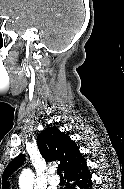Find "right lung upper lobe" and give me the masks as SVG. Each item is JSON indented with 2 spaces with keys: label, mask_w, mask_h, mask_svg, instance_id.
Listing matches in <instances>:
<instances>
[{
  "label": "right lung upper lobe",
  "mask_w": 124,
  "mask_h": 189,
  "mask_svg": "<svg viewBox=\"0 0 124 189\" xmlns=\"http://www.w3.org/2000/svg\"><path fill=\"white\" fill-rule=\"evenodd\" d=\"M37 145L41 155L47 161L60 162L59 167L64 174L85 160L75 142L56 127L42 131L37 137ZM23 161L24 155H19L7 166L2 176L3 189H9L7 179Z\"/></svg>",
  "instance_id": "right-lung-upper-lobe-1"
}]
</instances>
